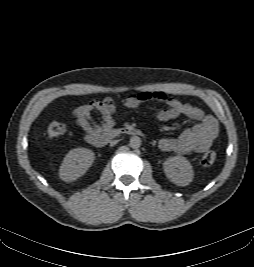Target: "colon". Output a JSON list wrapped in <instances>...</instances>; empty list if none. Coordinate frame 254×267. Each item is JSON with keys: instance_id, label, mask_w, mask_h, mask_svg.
<instances>
[{"instance_id": "colon-1", "label": "colon", "mask_w": 254, "mask_h": 267, "mask_svg": "<svg viewBox=\"0 0 254 267\" xmlns=\"http://www.w3.org/2000/svg\"><path fill=\"white\" fill-rule=\"evenodd\" d=\"M68 130V126L60 121H52L46 131H45V137L48 140H54L61 136H63ZM216 161V154L213 151L206 152L201 159V163L204 166H211Z\"/></svg>"}]
</instances>
